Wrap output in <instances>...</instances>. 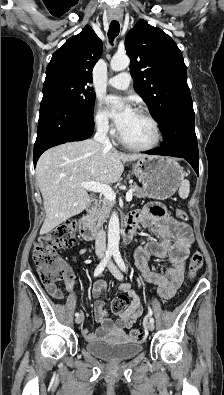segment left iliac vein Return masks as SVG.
I'll use <instances>...</instances> for the list:
<instances>
[{
	"instance_id": "obj_1",
	"label": "left iliac vein",
	"mask_w": 224,
	"mask_h": 395,
	"mask_svg": "<svg viewBox=\"0 0 224 395\" xmlns=\"http://www.w3.org/2000/svg\"><path fill=\"white\" fill-rule=\"evenodd\" d=\"M108 269L114 275L115 278H117L118 280H122L123 279V275L121 274L120 270L118 269V267L112 261H110L108 263ZM145 326L150 331L154 330V323L151 322V321L146 322Z\"/></svg>"
}]
</instances>
